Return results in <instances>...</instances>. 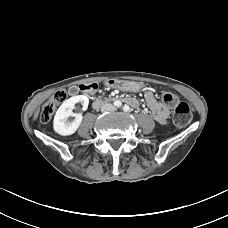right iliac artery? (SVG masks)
<instances>
[{"instance_id": "right-iliac-artery-1", "label": "right iliac artery", "mask_w": 228, "mask_h": 228, "mask_svg": "<svg viewBox=\"0 0 228 228\" xmlns=\"http://www.w3.org/2000/svg\"><path fill=\"white\" fill-rule=\"evenodd\" d=\"M121 104H122V103H121L120 101H115V102H114V105H115L116 107H120Z\"/></svg>"}]
</instances>
